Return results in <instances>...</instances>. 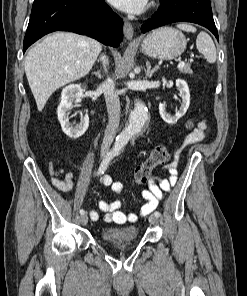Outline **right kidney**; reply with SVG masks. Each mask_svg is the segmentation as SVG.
Masks as SVG:
<instances>
[{
  "label": "right kidney",
  "instance_id": "ca27d5eb",
  "mask_svg": "<svg viewBox=\"0 0 247 296\" xmlns=\"http://www.w3.org/2000/svg\"><path fill=\"white\" fill-rule=\"evenodd\" d=\"M84 89L80 84H71L66 86L61 93V102L57 109L58 120L63 132L70 138L77 139L82 136L89 126V117L87 114L81 117L78 124L69 122L70 110L77 106L83 97Z\"/></svg>",
  "mask_w": 247,
  "mask_h": 296
}]
</instances>
